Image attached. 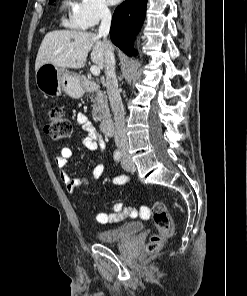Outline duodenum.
Returning a JSON list of instances; mask_svg holds the SVG:
<instances>
[{
  "mask_svg": "<svg viewBox=\"0 0 247 296\" xmlns=\"http://www.w3.org/2000/svg\"><path fill=\"white\" fill-rule=\"evenodd\" d=\"M85 87L87 90H95L97 89V84L93 81H87ZM99 126L103 134L111 135L114 130V121L111 117H105L100 121Z\"/></svg>",
  "mask_w": 247,
  "mask_h": 296,
  "instance_id": "duodenum-1",
  "label": "duodenum"
}]
</instances>
